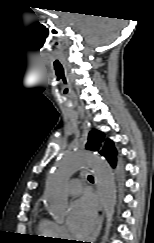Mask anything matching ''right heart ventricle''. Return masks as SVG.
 <instances>
[{"mask_svg": "<svg viewBox=\"0 0 154 243\" xmlns=\"http://www.w3.org/2000/svg\"><path fill=\"white\" fill-rule=\"evenodd\" d=\"M37 231L40 235L50 239H53L58 236L56 223L46 218H40Z\"/></svg>", "mask_w": 154, "mask_h": 243, "instance_id": "obj_1", "label": "right heart ventricle"}]
</instances>
